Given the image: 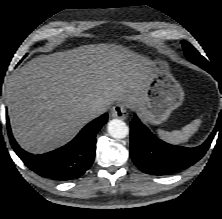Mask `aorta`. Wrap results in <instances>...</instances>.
<instances>
[{
	"label": "aorta",
	"mask_w": 222,
	"mask_h": 219,
	"mask_svg": "<svg viewBox=\"0 0 222 219\" xmlns=\"http://www.w3.org/2000/svg\"><path fill=\"white\" fill-rule=\"evenodd\" d=\"M107 130L110 136L115 139H123L129 133L128 126L120 119L110 120L107 126Z\"/></svg>",
	"instance_id": "aorta-1"
}]
</instances>
